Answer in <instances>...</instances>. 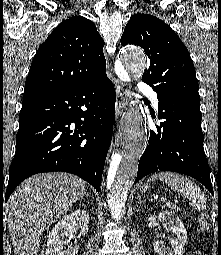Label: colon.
<instances>
[{
	"label": "colon",
	"instance_id": "1",
	"mask_svg": "<svg viewBox=\"0 0 221 255\" xmlns=\"http://www.w3.org/2000/svg\"><path fill=\"white\" fill-rule=\"evenodd\" d=\"M198 220H199V224H200V227H201L202 231L206 232L208 230V226H209L208 214L205 213V212H202L199 215Z\"/></svg>",
	"mask_w": 221,
	"mask_h": 255
}]
</instances>
